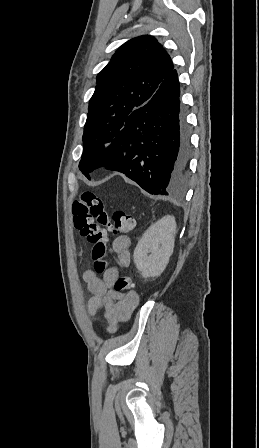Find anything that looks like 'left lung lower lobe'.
<instances>
[{
    "mask_svg": "<svg viewBox=\"0 0 259 448\" xmlns=\"http://www.w3.org/2000/svg\"><path fill=\"white\" fill-rule=\"evenodd\" d=\"M111 145L92 161L99 167L124 173L154 195H170L186 181L191 153L190 132L180 85L173 69L150 100L133 110ZM88 179L89 172L83 173Z\"/></svg>",
    "mask_w": 259,
    "mask_h": 448,
    "instance_id": "1",
    "label": "left lung lower lobe"
}]
</instances>
